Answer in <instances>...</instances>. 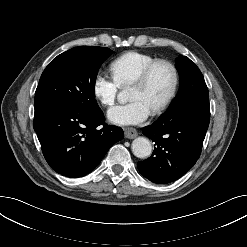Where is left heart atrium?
I'll use <instances>...</instances> for the list:
<instances>
[{
    "mask_svg": "<svg viewBox=\"0 0 247 247\" xmlns=\"http://www.w3.org/2000/svg\"><path fill=\"white\" fill-rule=\"evenodd\" d=\"M151 110L142 101L131 99L129 102L112 107L108 111V118L116 124L134 125L146 120Z\"/></svg>",
    "mask_w": 247,
    "mask_h": 247,
    "instance_id": "39dd6f15",
    "label": "left heart atrium"
}]
</instances>
